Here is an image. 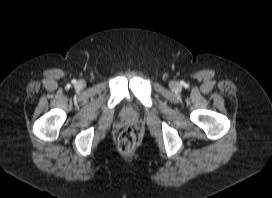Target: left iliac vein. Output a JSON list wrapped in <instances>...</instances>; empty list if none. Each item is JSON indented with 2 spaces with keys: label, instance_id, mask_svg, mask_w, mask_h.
Wrapping results in <instances>:
<instances>
[{
  "label": "left iliac vein",
  "instance_id": "left-iliac-vein-1",
  "mask_svg": "<svg viewBox=\"0 0 272 198\" xmlns=\"http://www.w3.org/2000/svg\"><path fill=\"white\" fill-rule=\"evenodd\" d=\"M170 86L174 90H179V88H180V86L177 82H172Z\"/></svg>",
  "mask_w": 272,
  "mask_h": 198
}]
</instances>
